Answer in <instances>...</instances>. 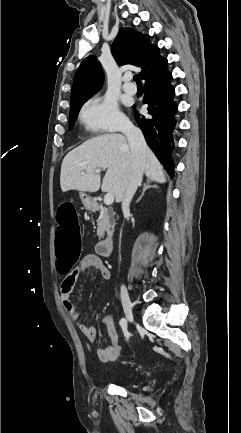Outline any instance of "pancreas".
Wrapping results in <instances>:
<instances>
[{
    "instance_id": "1",
    "label": "pancreas",
    "mask_w": 241,
    "mask_h": 433,
    "mask_svg": "<svg viewBox=\"0 0 241 433\" xmlns=\"http://www.w3.org/2000/svg\"><path fill=\"white\" fill-rule=\"evenodd\" d=\"M114 228V222L112 218V214L108 211L107 208H100V216L98 219V228L97 235L99 238H103L105 232L108 234L112 232Z\"/></svg>"
}]
</instances>
